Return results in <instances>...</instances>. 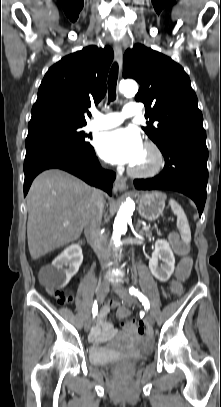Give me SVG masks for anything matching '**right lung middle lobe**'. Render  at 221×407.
<instances>
[{
  "mask_svg": "<svg viewBox=\"0 0 221 407\" xmlns=\"http://www.w3.org/2000/svg\"><path fill=\"white\" fill-rule=\"evenodd\" d=\"M84 125L54 123L28 128L26 145L38 140H55L75 147L79 151H90L93 147L88 139L89 135L80 129Z\"/></svg>",
  "mask_w": 221,
  "mask_h": 407,
  "instance_id": "right-lung-middle-lobe-1",
  "label": "right lung middle lobe"
}]
</instances>
